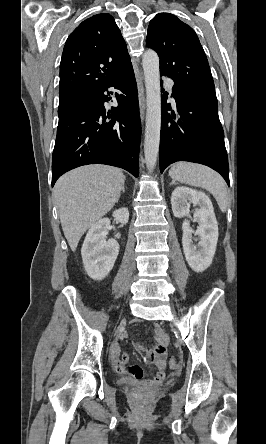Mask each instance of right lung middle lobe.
Returning <instances> with one entry per match:
<instances>
[{
  "label": "right lung middle lobe",
  "instance_id": "obj_1",
  "mask_svg": "<svg viewBox=\"0 0 266 444\" xmlns=\"http://www.w3.org/2000/svg\"><path fill=\"white\" fill-rule=\"evenodd\" d=\"M91 96L92 94H86L60 98L58 107L59 119L65 117L78 107L82 106L88 101L89 98H91Z\"/></svg>",
  "mask_w": 266,
  "mask_h": 444
}]
</instances>
